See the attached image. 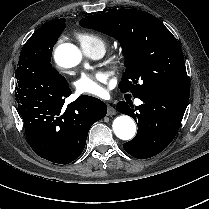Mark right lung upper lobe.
I'll return each instance as SVG.
<instances>
[{"mask_svg": "<svg viewBox=\"0 0 209 209\" xmlns=\"http://www.w3.org/2000/svg\"><path fill=\"white\" fill-rule=\"evenodd\" d=\"M52 21H54V20H52ZM49 22H51V21H49ZM49 22H47V23H49ZM47 23H45V24H47Z\"/></svg>", "mask_w": 209, "mask_h": 209, "instance_id": "cb5924a9", "label": "right lung upper lobe"}]
</instances>
